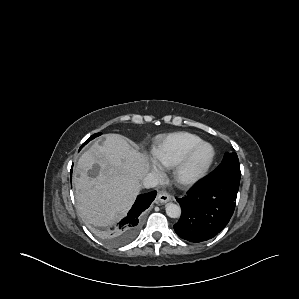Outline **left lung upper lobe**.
Returning <instances> with one entry per match:
<instances>
[{"instance_id":"1","label":"left lung upper lobe","mask_w":299,"mask_h":299,"mask_svg":"<svg viewBox=\"0 0 299 299\" xmlns=\"http://www.w3.org/2000/svg\"><path fill=\"white\" fill-rule=\"evenodd\" d=\"M210 175L240 181L241 171L237 154L226 152L220 165Z\"/></svg>"}]
</instances>
